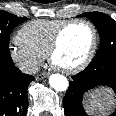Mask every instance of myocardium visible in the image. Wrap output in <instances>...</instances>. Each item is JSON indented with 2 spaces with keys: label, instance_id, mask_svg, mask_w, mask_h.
I'll return each instance as SVG.
<instances>
[{
  "label": "myocardium",
  "instance_id": "1",
  "mask_svg": "<svg viewBox=\"0 0 116 116\" xmlns=\"http://www.w3.org/2000/svg\"><path fill=\"white\" fill-rule=\"evenodd\" d=\"M77 23L85 24L90 28L91 33H92V42H91L90 49H89L86 57L79 64H77L73 67H70V68L59 67L56 64H54L53 56L60 45V41H61V38H62L65 30L69 26L77 24ZM97 46H98V32H97L95 25L87 19H71V20H67L66 22H64L55 32V34L51 40V43L49 45V48L47 50L46 57H47L49 63L51 64V66L54 67L55 69L59 70L60 72H62L64 74H75V73H78V72L84 70L91 63V61L93 60V58L95 56Z\"/></svg>",
  "mask_w": 116,
  "mask_h": 116
}]
</instances>
